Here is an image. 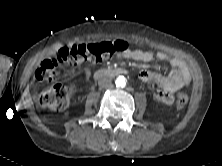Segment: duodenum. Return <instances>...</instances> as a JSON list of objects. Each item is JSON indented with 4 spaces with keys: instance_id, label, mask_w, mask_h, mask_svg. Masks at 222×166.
Masks as SVG:
<instances>
[{
    "instance_id": "1",
    "label": "duodenum",
    "mask_w": 222,
    "mask_h": 166,
    "mask_svg": "<svg viewBox=\"0 0 222 166\" xmlns=\"http://www.w3.org/2000/svg\"><path fill=\"white\" fill-rule=\"evenodd\" d=\"M127 70L124 68H104V69H100L98 70L94 77L95 79H101L103 77H107V76H117V75H122V74H126Z\"/></svg>"
}]
</instances>
